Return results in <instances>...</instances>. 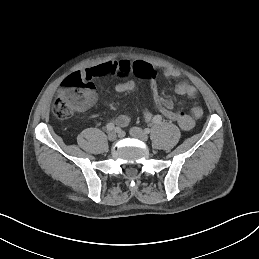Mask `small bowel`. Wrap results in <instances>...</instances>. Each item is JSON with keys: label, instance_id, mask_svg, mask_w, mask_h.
I'll list each match as a JSON object with an SVG mask.
<instances>
[{"label": "small bowel", "instance_id": "obj_1", "mask_svg": "<svg viewBox=\"0 0 259 259\" xmlns=\"http://www.w3.org/2000/svg\"><path fill=\"white\" fill-rule=\"evenodd\" d=\"M128 74H134L150 81L151 92L155 105L167 118H169L170 115L176 111L174 110L173 102L170 99L162 98L159 95L156 85L157 71L151 64L145 61H129L124 59L118 61L111 60L88 68L81 75L85 80L91 82L101 76ZM164 76L166 78H176L179 76V73L174 69H167L164 71ZM135 87L136 85L134 81H125L116 85V91L119 93H125L134 90ZM175 91L177 94L188 98H194L196 96V89L187 82L178 83L175 87ZM202 115V108L199 106H194L190 109L189 113H185L184 119L179 121L178 124L182 129L190 130L195 126L196 120L201 118ZM145 117L150 119L151 114L146 111ZM130 121L131 117L126 113L120 114L114 119V123L120 127H126Z\"/></svg>", "mask_w": 259, "mask_h": 259}]
</instances>
